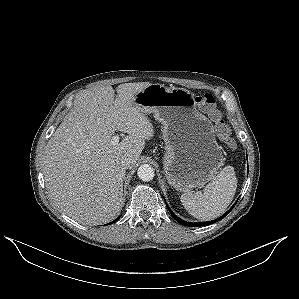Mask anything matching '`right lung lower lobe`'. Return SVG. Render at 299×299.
I'll list each match as a JSON object with an SVG mask.
<instances>
[{"label": "right lung lower lobe", "mask_w": 299, "mask_h": 299, "mask_svg": "<svg viewBox=\"0 0 299 299\" xmlns=\"http://www.w3.org/2000/svg\"><path fill=\"white\" fill-rule=\"evenodd\" d=\"M119 218H120V217H118L117 219H115L113 222H111V223H109V224H112V223L116 222Z\"/></svg>", "instance_id": "1"}]
</instances>
